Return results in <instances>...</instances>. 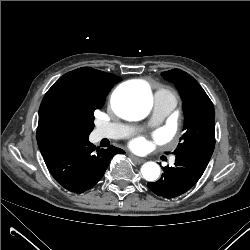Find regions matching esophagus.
<instances>
[{
  "label": "esophagus",
  "mask_w": 250,
  "mask_h": 250,
  "mask_svg": "<svg viewBox=\"0 0 250 250\" xmlns=\"http://www.w3.org/2000/svg\"><path fill=\"white\" fill-rule=\"evenodd\" d=\"M130 157H131V159H132L135 163H137V164H141V163L144 162V159L139 158V157H136V156H134V155H130Z\"/></svg>",
  "instance_id": "obj_1"
}]
</instances>
